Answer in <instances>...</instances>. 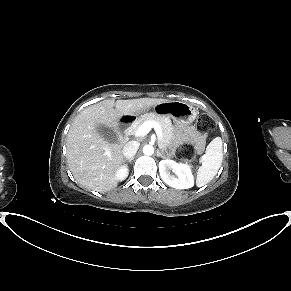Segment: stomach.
Wrapping results in <instances>:
<instances>
[{
  "instance_id": "obj_1",
  "label": "stomach",
  "mask_w": 291,
  "mask_h": 291,
  "mask_svg": "<svg viewBox=\"0 0 291 291\" xmlns=\"http://www.w3.org/2000/svg\"><path fill=\"white\" fill-rule=\"evenodd\" d=\"M149 110H151V113L160 116L167 115L180 125L191 124L198 114V111L194 107L181 101H165L145 110L146 113ZM181 134L182 133H180V136Z\"/></svg>"
}]
</instances>
